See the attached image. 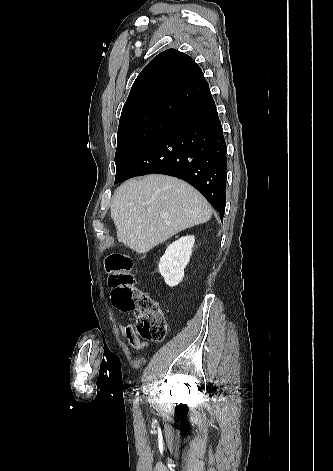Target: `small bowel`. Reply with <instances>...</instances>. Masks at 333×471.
<instances>
[{
    "mask_svg": "<svg viewBox=\"0 0 333 471\" xmlns=\"http://www.w3.org/2000/svg\"><path fill=\"white\" fill-rule=\"evenodd\" d=\"M119 330L132 348L141 350L149 346V343L144 342L139 338L131 324L119 325Z\"/></svg>",
    "mask_w": 333,
    "mask_h": 471,
    "instance_id": "small-bowel-1",
    "label": "small bowel"
}]
</instances>
